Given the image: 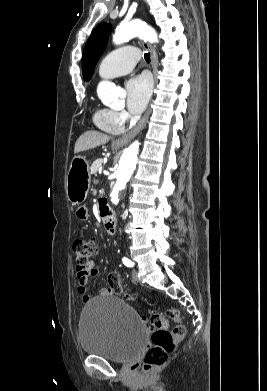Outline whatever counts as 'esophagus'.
<instances>
[{"label":"esophagus","instance_id":"1","mask_svg":"<svg viewBox=\"0 0 267 391\" xmlns=\"http://www.w3.org/2000/svg\"><path fill=\"white\" fill-rule=\"evenodd\" d=\"M143 47L145 49L149 50V52L151 54V63H152V67H153V72L155 74V71L157 68V62H158L156 51H155L154 47L147 42L143 43ZM149 114H150V108H148L145 115L138 122V124L132 130H130L129 132L124 134L122 137L116 139L114 144L117 146H123V145L128 144L136 136V134L139 133L143 129V127L145 126L146 121L149 117Z\"/></svg>","mask_w":267,"mask_h":391}]
</instances>
